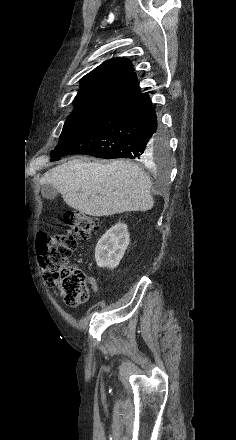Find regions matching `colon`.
I'll return each mask as SVG.
<instances>
[{"mask_svg":"<svg viewBox=\"0 0 236 440\" xmlns=\"http://www.w3.org/2000/svg\"><path fill=\"white\" fill-rule=\"evenodd\" d=\"M69 228L63 233L37 234L39 264L45 283L57 290L69 306L87 302L89 297L86 273L69 264L78 239H88L100 227V221L77 211H68L63 216Z\"/></svg>","mask_w":236,"mask_h":440,"instance_id":"obj_1","label":"colon"}]
</instances>
